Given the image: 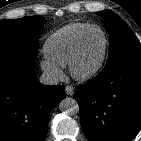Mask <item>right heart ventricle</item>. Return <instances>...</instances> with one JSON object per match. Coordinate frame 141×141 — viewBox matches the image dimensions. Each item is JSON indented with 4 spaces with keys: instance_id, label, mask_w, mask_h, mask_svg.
Returning <instances> with one entry per match:
<instances>
[{
    "instance_id": "e07e8e85",
    "label": "right heart ventricle",
    "mask_w": 141,
    "mask_h": 141,
    "mask_svg": "<svg viewBox=\"0 0 141 141\" xmlns=\"http://www.w3.org/2000/svg\"><path fill=\"white\" fill-rule=\"evenodd\" d=\"M90 25L70 23L55 31L45 41L43 49L46 57L60 66L68 65L80 34Z\"/></svg>"
}]
</instances>
